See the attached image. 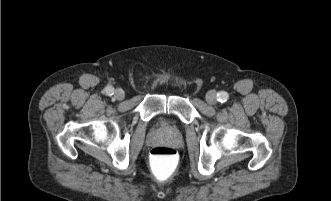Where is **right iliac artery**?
Masks as SVG:
<instances>
[{
    "mask_svg": "<svg viewBox=\"0 0 331 201\" xmlns=\"http://www.w3.org/2000/svg\"><path fill=\"white\" fill-rule=\"evenodd\" d=\"M104 91L108 96H112L114 94V88L111 86L106 87Z\"/></svg>",
    "mask_w": 331,
    "mask_h": 201,
    "instance_id": "1",
    "label": "right iliac artery"
}]
</instances>
